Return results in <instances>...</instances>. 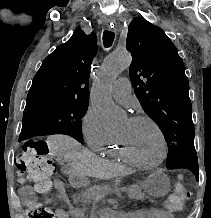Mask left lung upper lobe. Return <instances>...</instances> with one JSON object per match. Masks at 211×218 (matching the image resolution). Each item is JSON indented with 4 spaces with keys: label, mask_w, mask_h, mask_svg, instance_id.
<instances>
[{
    "label": "left lung upper lobe",
    "mask_w": 211,
    "mask_h": 218,
    "mask_svg": "<svg viewBox=\"0 0 211 218\" xmlns=\"http://www.w3.org/2000/svg\"><path fill=\"white\" fill-rule=\"evenodd\" d=\"M130 79L147 115L168 145L167 168H188L198 178L189 83L178 51L165 32L141 17L128 28Z\"/></svg>",
    "instance_id": "obj_1"
}]
</instances>
